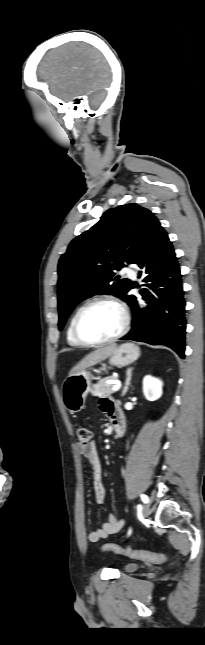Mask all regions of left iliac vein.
Masks as SVG:
<instances>
[{"mask_svg": "<svg viewBox=\"0 0 205 645\" xmlns=\"http://www.w3.org/2000/svg\"><path fill=\"white\" fill-rule=\"evenodd\" d=\"M149 514H150V506L148 504H145L142 509V515L143 517L146 518L148 517Z\"/></svg>", "mask_w": 205, "mask_h": 645, "instance_id": "1", "label": "left iliac vein"}]
</instances>
